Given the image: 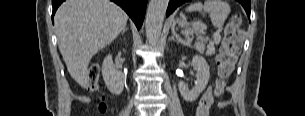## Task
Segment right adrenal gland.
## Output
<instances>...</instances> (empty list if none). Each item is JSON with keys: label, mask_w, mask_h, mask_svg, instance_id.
<instances>
[{"label": "right adrenal gland", "mask_w": 305, "mask_h": 116, "mask_svg": "<svg viewBox=\"0 0 305 116\" xmlns=\"http://www.w3.org/2000/svg\"><path fill=\"white\" fill-rule=\"evenodd\" d=\"M127 30H128V27H125V28L122 30L121 34H124L125 31H127Z\"/></svg>", "instance_id": "obj_1"}]
</instances>
